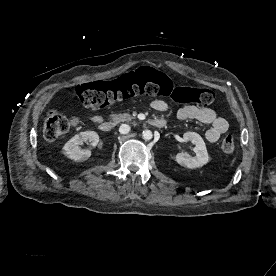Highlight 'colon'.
<instances>
[{"mask_svg": "<svg viewBox=\"0 0 276 276\" xmlns=\"http://www.w3.org/2000/svg\"><path fill=\"white\" fill-rule=\"evenodd\" d=\"M76 93L79 100L92 109H101L138 96L167 97L178 104H194L201 107L208 106L214 101V93L210 89L176 86L166 74L148 66L125 74L116 81L80 85ZM78 124L79 120L76 117L50 111L44 119V137L48 141H53ZM234 149L233 136L226 135L221 141L222 152L231 154Z\"/></svg>", "mask_w": 276, "mask_h": 276, "instance_id": "1", "label": "colon"}]
</instances>
